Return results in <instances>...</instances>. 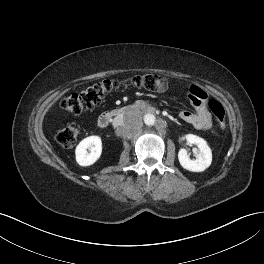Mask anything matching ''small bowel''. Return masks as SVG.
Segmentation results:
<instances>
[{
  "mask_svg": "<svg viewBox=\"0 0 264 264\" xmlns=\"http://www.w3.org/2000/svg\"><path fill=\"white\" fill-rule=\"evenodd\" d=\"M189 100L194 107V111L183 110L179 117L186 123L191 124L196 129L208 130L212 125L211 114L208 110V96L204 90L198 86L189 88Z\"/></svg>",
  "mask_w": 264,
  "mask_h": 264,
  "instance_id": "obj_1",
  "label": "small bowel"
}]
</instances>
